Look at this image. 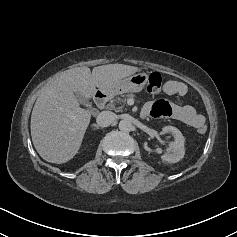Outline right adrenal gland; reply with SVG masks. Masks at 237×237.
<instances>
[{
	"label": "right adrenal gland",
	"instance_id": "right-adrenal-gland-1",
	"mask_svg": "<svg viewBox=\"0 0 237 237\" xmlns=\"http://www.w3.org/2000/svg\"><path fill=\"white\" fill-rule=\"evenodd\" d=\"M92 126L95 127L96 129L99 128V126L97 124H93Z\"/></svg>",
	"mask_w": 237,
	"mask_h": 237
}]
</instances>
